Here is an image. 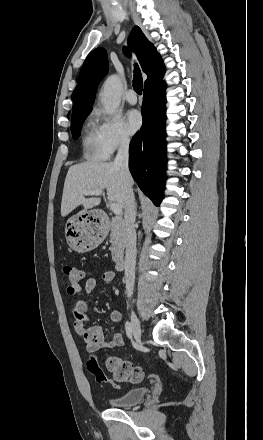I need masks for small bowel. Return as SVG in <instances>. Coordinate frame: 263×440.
Instances as JSON below:
<instances>
[{"label":"small bowel","instance_id":"small-bowel-1","mask_svg":"<svg viewBox=\"0 0 263 440\" xmlns=\"http://www.w3.org/2000/svg\"><path fill=\"white\" fill-rule=\"evenodd\" d=\"M115 280V272L106 271L101 276V281L106 286H111ZM97 285L95 277H89L85 281L84 292L85 297L82 299H75L73 301V315H74V329L75 332L86 343L87 351L90 353L96 352L99 349L116 348L124 343L123 332L116 333L111 340H107L104 336L103 330L99 325H89V318L87 311L90 308V296ZM80 290L79 288H70L69 293L74 295ZM112 297H110V300ZM112 322L118 323L122 319V314L118 310H114L109 315Z\"/></svg>","mask_w":263,"mask_h":440}]
</instances>
